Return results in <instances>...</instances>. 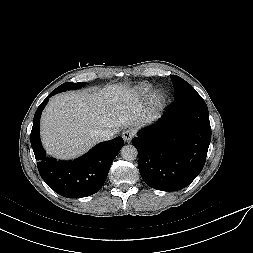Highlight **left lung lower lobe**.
<instances>
[{
	"instance_id": "0a47b994",
	"label": "left lung lower lobe",
	"mask_w": 253,
	"mask_h": 253,
	"mask_svg": "<svg viewBox=\"0 0 253 253\" xmlns=\"http://www.w3.org/2000/svg\"><path fill=\"white\" fill-rule=\"evenodd\" d=\"M137 135L132 144L144 182L162 191L185 188L205 164L211 140L207 105L198 93L176 101Z\"/></svg>"
}]
</instances>
